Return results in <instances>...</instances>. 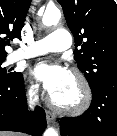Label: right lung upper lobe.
I'll return each instance as SVG.
<instances>
[{"mask_svg": "<svg viewBox=\"0 0 117 136\" xmlns=\"http://www.w3.org/2000/svg\"><path fill=\"white\" fill-rule=\"evenodd\" d=\"M31 0H0V58H5V46L21 37V30Z\"/></svg>", "mask_w": 117, "mask_h": 136, "instance_id": "obj_1", "label": "right lung upper lobe"}]
</instances>
